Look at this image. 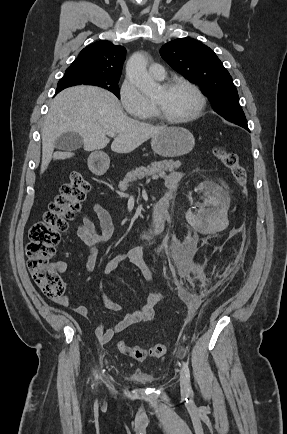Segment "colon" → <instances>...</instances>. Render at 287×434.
<instances>
[{"instance_id": "colon-1", "label": "colon", "mask_w": 287, "mask_h": 434, "mask_svg": "<svg viewBox=\"0 0 287 434\" xmlns=\"http://www.w3.org/2000/svg\"><path fill=\"white\" fill-rule=\"evenodd\" d=\"M213 153L230 170L238 187L245 191L248 180L247 170L240 163L237 153L221 146L215 147ZM89 189V183L82 173L73 171L45 211L43 219L34 223L29 230L28 269L35 284L48 298L57 299L64 293L65 284L51 268L50 260L59 243L60 233L67 229L68 222L80 210ZM117 348L120 353L137 361L159 358L168 351L167 345L163 343L142 348L129 346L126 342L120 341Z\"/></svg>"}]
</instances>
